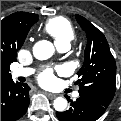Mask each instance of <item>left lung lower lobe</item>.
Masks as SVG:
<instances>
[{
    "mask_svg": "<svg viewBox=\"0 0 121 121\" xmlns=\"http://www.w3.org/2000/svg\"><path fill=\"white\" fill-rule=\"evenodd\" d=\"M70 106L65 112H56L60 121H96L107 108L82 96L74 102L71 101Z\"/></svg>",
    "mask_w": 121,
    "mask_h": 121,
    "instance_id": "obj_1",
    "label": "left lung lower lobe"
}]
</instances>
